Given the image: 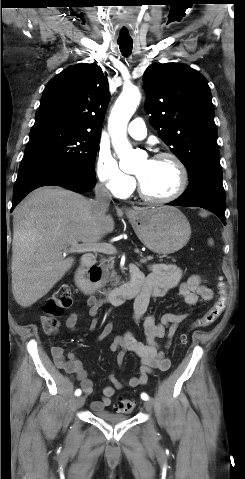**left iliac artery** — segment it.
<instances>
[{
  "mask_svg": "<svg viewBox=\"0 0 245 479\" xmlns=\"http://www.w3.org/2000/svg\"><path fill=\"white\" fill-rule=\"evenodd\" d=\"M141 398H142L143 400H148V399H149V397H148V395H147L146 393H142V394H141Z\"/></svg>",
  "mask_w": 245,
  "mask_h": 479,
  "instance_id": "left-iliac-artery-1",
  "label": "left iliac artery"
}]
</instances>
